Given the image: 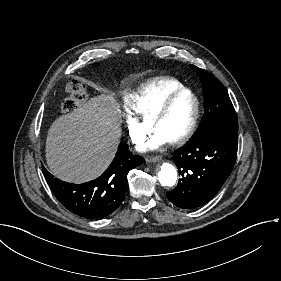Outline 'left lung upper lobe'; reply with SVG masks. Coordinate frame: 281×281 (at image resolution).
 I'll list each match as a JSON object with an SVG mask.
<instances>
[{
	"mask_svg": "<svg viewBox=\"0 0 281 281\" xmlns=\"http://www.w3.org/2000/svg\"><path fill=\"white\" fill-rule=\"evenodd\" d=\"M190 66L201 78L204 92L205 114L195 134L201 129L238 132L237 115L224 86L206 70Z\"/></svg>",
	"mask_w": 281,
	"mask_h": 281,
	"instance_id": "1",
	"label": "left lung upper lobe"
}]
</instances>
